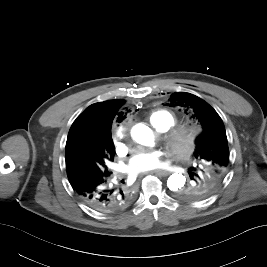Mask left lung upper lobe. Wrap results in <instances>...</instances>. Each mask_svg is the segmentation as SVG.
<instances>
[{"mask_svg": "<svg viewBox=\"0 0 267 267\" xmlns=\"http://www.w3.org/2000/svg\"><path fill=\"white\" fill-rule=\"evenodd\" d=\"M170 106L188 111L202 127L196 138L193 158L197 165L191 168L192 179L178 191L183 200H198L211 195L223 182L229 168V148L222 119L217 112L201 98L187 93L171 95Z\"/></svg>", "mask_w": 267, "mask_h": 267, "instance_id": "left-lung-upper-lobe-1", "label": "left lung upper lobe"}]
</instances>
